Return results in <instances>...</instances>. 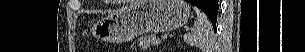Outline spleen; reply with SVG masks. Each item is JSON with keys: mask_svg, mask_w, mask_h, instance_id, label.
<instances>
[{"mask_svg": "<svg viewBox=\"0 0 305 52\" xmlns=\"http://www.w3.org/2000/svg\"><path fill=\"white\" fill-rule=\"evenodd\" d=\"M197 19L191 33L184 35L183 39L190 45L198 47L202 52H212L214 49L213 28L207 15L199 8L194 7Z\"/></svg>", "mask_w": 305, "mask_h": 52, "instance_id": "3e777b00", "label": "spleen"}]
</instances>
